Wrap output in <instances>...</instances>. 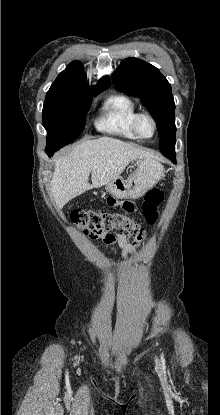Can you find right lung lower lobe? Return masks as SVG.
<instances>
[{"label":"right lung lower lobe","mask_w":220,"mask_h":415,"mask_svg":"<svg viewBox=\"0 0 220 415\" xmlns=\"http://www.w3.org/2000/svg\"><path fill=\"white\" fill-rule=\"evenodd\" d=\"M55 151H56V150H50V149H49V150H47V149H46V153H47V155H48L49 157H51Z\"/></svg>","instance_id":"1"}]
</instances>
